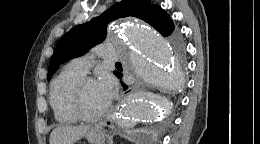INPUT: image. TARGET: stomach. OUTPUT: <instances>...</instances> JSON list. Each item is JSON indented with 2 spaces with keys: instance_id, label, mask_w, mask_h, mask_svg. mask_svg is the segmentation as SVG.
I'll list each match as a JSON object with an SVG mask.
<instances>
[{
  "instance_id": "0dacf381",
  "label": "stomach",
  "mask_w": 260,
  "mask_h": 144,
  "mask_svg": "<svg viewBox=\"0 0 260 144\" xmlns=\"http://www.w3.org/2000/svg\"><path fill=\"white\" fill-rule=\"evenodd\" d=\"M85 138L90 144H104L105 143V134L98 128L93 127L86 132Z\"/></svg>"
}]
</instances>
